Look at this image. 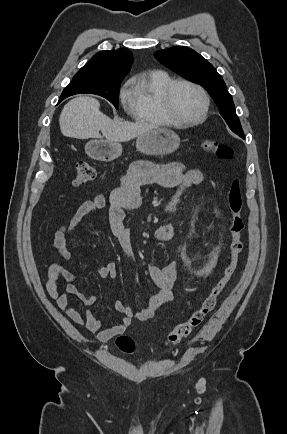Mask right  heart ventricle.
I'll list each match as a JSON object with an SVG mask.
<instances>
[{"label":"right heart ventricle","mask_w":287,"mask_h":434,"mask_svg":"<svg viewBox=\"0 0 287 434\" xmlns=\"http://www.w3.org/2000/svg\"><path fill=\"white\" fill-rule=\"evenodd\" d=\"M173 78L162 70H151L131 80L132 102L128 111L141 122L168 126L172 124L163 112L161 98Z\"/></svg>","instance_id":"obj_1"}]
</instances>
